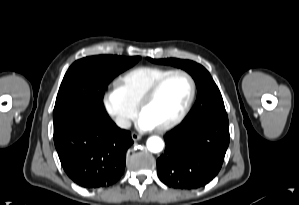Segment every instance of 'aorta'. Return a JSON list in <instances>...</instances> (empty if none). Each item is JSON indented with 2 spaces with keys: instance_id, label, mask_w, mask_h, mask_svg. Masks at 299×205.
<instances>
[{
  "instance_id": "aorta-1",
  "label": "aorta",
  "mask_w": 299,
  "mask_h": 205,
  "mask_svg": "<svg viewBox=\"0 0 299 205\" xmlns=\"http://www.w3.org/2000/svg\"><path fill=\"white\" fill-rule=\"evenodd\" d=\"M146 145H147L148 150L153 153H159L164 148V142L158 136H152V137L148 138Z\"/></svg>"
}]
</instances>
